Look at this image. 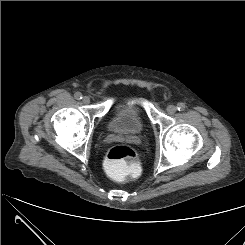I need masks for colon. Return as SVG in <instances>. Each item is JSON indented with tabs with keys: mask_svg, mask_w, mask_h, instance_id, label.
<instances>
[{
	"mask_svg": "<svg viewBox=\"0 0 245 245\" xmlns=\"http://www.w3.org/2000/svg\"><path fill=\"white\" fill-rule=\"evenodd\" d=\"M137 151L128 145H114L105 155V167L114 179L134 173Z\"/></svg>",
	"mask_w": 245,
	"mask_h": 245,
	"instance_id": "obj_1",
	"label": "colon"
}]
</instances>
